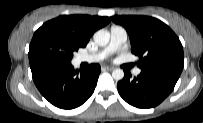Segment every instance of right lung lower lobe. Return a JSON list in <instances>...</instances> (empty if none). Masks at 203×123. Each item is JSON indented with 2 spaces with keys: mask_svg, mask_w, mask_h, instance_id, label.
Listing matches in <instances>:
<instances>
[{
  "mask_svg": "<svg viewBox=\"0 0 203 123\" xmlns=\"http://www.w3.org/2000/svg\"><path fill=\"white\" fill-rule=\"evenodd\" d=\"M30 68L40 93L61 109L82 105L94 92L101 71L98 64L79 72L71 64L57 62H38Z\"/></svg>",
  "mask_w": 203,
  "mask_h": 123,
  "instance_id": "98d812e1",
  "label": "right lung lower lobe"
}]
</instances>
